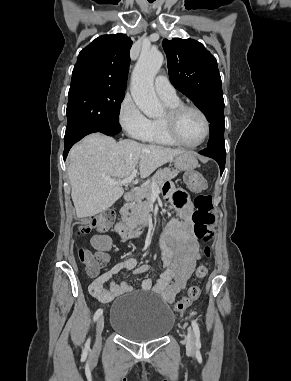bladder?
I'll return each instance as SVG.
<instances>
[{
  "label": "bladder",
  "instance_id": "obj_1",
  "mask_svg": "<svg viewBox=\"0 0 291 381\" xmlns=\"http://www.w3.org/2000/svg\"><path fill=\"white\" fill-rule=\"evenodd\" d=\"M174 322V313L164 300L136 292L122 295L110 308V328L132 341L161 339L172 330Z\"/></svg>",
  "mask_w": 291,
  "mask_h": 381
}]
</instances>
